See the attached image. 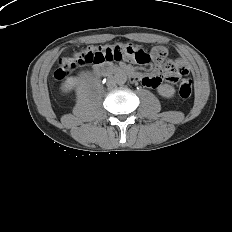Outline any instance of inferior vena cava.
I'll use <instances>...</instances> for the list:
<instances>
[{
    "instance_id": "602c4592",
    "label": "inferior vena cava",
    "mask_w": 232,
    "mask_h": 232,
    "mask_svg": "<svg viewBox=\"0 0 232 232\" xmlns=\"http://www.w3.org/2000/svg\"><path fill=\"white\" fill-rule=\"evenodd\" d=\"M107 86H108L109 88L114 87V86H115L114 80H113V79H109L108 82H107Z\"/></svg>"
}]
</instances>
